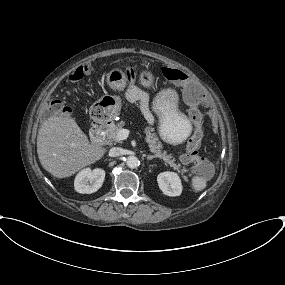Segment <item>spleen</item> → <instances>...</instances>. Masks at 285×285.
I'll return each mask as SVG.
<instances>
[{
    "instance_id": "1",
    "label": "spleen",
    "mask_w": 285,
    "mask_h": 285,
    "mask_svg": "<svg viewBox=\"0 0 285 285\" xmlns=\"http://www.w3.org/2000/svg\"><path fill=\"white\" fill-rule=\"evenodd\" d=\"M207 186V182L204 178L195 176L192 178L191 187L195 192L204 190Z\"/></svg>"
}]
</instances>
